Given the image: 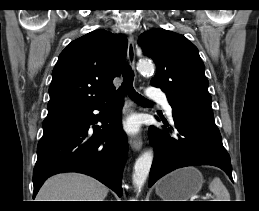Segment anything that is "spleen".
Masks as SVG:
<instances>
[{
	"label": "spleen",
	"instance_id": "spleen-1",
	"mask_svg": "<svg viewBox=\"0 0 259 211\" xmlns=\"http://www.w3.org/2000/svg\"><path fill=\"white\" fill-rule=\"evenodd\" d=\"M209 189L215 195L214 201H230V194L220 178L215 177L210 182Z\"/></svg>",
	"mask_w": 259,
	"mask_h": 211
}]
</instances>
